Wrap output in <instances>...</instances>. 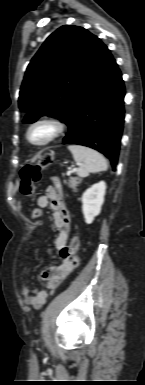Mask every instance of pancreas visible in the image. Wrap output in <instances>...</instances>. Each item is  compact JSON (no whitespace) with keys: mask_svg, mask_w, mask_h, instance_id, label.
Segmentation results:
<instances>
[{"mask_svg":"<svg viewBox=\"0 0 145 385\" xmlns=\"http://www.w3.org/2000/svg\"><path fill=\"white\" fill-rule=\"evenodd\" d=\"M80 179L77 177H71L68 182V186L74 191L77 192V186L80 183Z\"/></svg>","mask_w":145,"mask_h":385,"instance_id":"cf45deb5","label":"pancreas"}]
</instances>
